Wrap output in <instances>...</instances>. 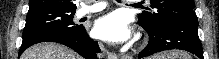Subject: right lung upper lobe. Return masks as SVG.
Returning a JSON list of instances; mask_svg holds the SVG:
<instances>
[{
  "label": "right lung upper lobe",
  "instance_id": "obj_1",
  "mask_svg": "<svg viewBox=\"0 0 219 59\" xmlns=\"http://www.w3.org/2000/svg\"><path fill=\"white\" fill-rule=\"evenodd\" d=\"M62 10V11H75L76 5L72 0H30L29 1V11L38 10Z\"/></svg>",
  "mask_w": 219,
  "mask_h": 59
}]
</instances>
